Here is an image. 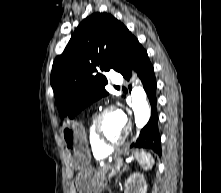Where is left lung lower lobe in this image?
I'll return each mask as SVG.
<instances>
[{
	"label": "left lung lower lobe",
	"instance_id": "left-lung-lower-lobe-1",
	"mask_svg": "<svg viewBox=\"0 0 221 193\" xmlns=\"http://www.w3.org/2000/svg\"><path fill=\"white\" fill-rule=\"evenodd\" d=\"M130 65L137 72L143 83V88L151 104V117L148 123L141 129L138 138L132 143L131 148H148L161 155V141L158 131V114L156 111V80L154 69L147 52L138 42L132 49L127 63L121 74L127 80L131 76Z\"/></svg>",
	"mask_w": 221,
	"mask_h": 193
}]
</instances>
